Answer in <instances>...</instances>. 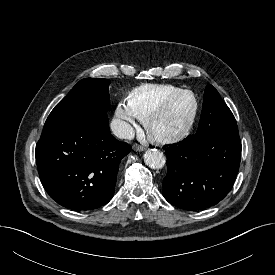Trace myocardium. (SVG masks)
I'll use <instances>...</instances> for the list:
<instances>
[{
	"instance_id": "f54148a6",
	"label": "myocardium",
	"mask_w": 275,
	"mask_h": 275,
	"mask_svg": "<svg viewBox=\"0 0 275 275\" xmlns=\"http://www.w3.org/2000/svg\"><path fill=\"white\" fill-rule=\"evenodd\" d=\"M189 96L192 99V110L190 116L184 126L178 131L167 135H156L151 130L153 121L164 113L168 107L179 97ZM199 109V103L195 93L188 89H180L162 100L157 106H155L143 119L144 127L154 141L163 144L175 143L185 138L191 129L193 128Z\"/></svg>"
}]
</instances>
